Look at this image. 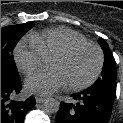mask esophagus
Returning <instances> with one entry per match:
<instances>
[{"mask_svg":"<svg viewBox=\"0 0 123 123\" xmlns=\"http://www.w3.org/2000/svg\"><path fill=\"white\" fill-rule=\"evenodd\" d=\"M35 100L37 103H43L45 101V98L43 97H35Z\"/></svg>","mask_w":123,"mask_h":123,"instance_id":"esophagus-1","label":"esophagus"}]
</instances>
